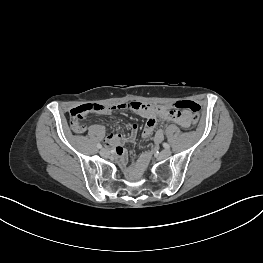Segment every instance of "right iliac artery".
Listing matches in <instances>:
<instances>
[{
  "label": "right iliac artery",
  "instance_id": "obj_1",
  "mask_svg": "<svg viewBox=\"0 0 263 263\" xmlns=\"http://www.w3.org/2000/svg\"><path fill=\"white\" fill-rule=\"evenodd\" d=\"M97 148L101 149L102 145L101 144H97Z\"/></svg>",
  "mask_w": 263,
  "mask_h": 263
}]
</instances>
